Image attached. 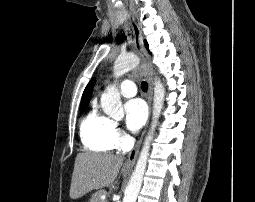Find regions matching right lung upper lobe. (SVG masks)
Masks as SVG:
<instances>
[{
    "label": "right lung upper lobe",
    "instance_id": "obj_1",
    "mask_svg": "<svg viewBox=\"0 0 255 202\" xmlns=\"http://www.w3.org/2000/svg\"><path fill=\"white\" fill-rule=\"evenodd\" d=\"M95 84V79H92L88 85L86 86L83 95H82V100H81V105H88L90 101V96H91V90Z\"/></svg>",
    "mask_w": 255,
    "mask_h": 202
}]
</instances>
